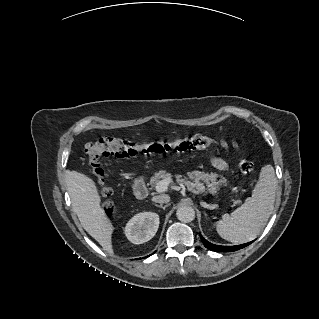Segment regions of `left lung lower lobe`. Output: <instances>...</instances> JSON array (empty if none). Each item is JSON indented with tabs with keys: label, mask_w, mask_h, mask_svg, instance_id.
I'll list each match as a JSON object with an SVG mask.
<instances>
[{
	"label": "left lung lower lobe",
	"mask_w": 319,
	"mask_h": 319,
	"mask_svg": "<svg viewBox=\"0 0 319 319\" xmlns=\"http://www.w3.org/2000/svg\"><path fill=\"white\" fill-rule=\"evenodd\" d=\"M200 238L204 244V246L208 249H210L211 251H215V252H232V251H236V250H239L241 248H244L246 247L247 245H249L250 243L252 242H249V243H245V244H242V245H236V246H219V245H215V244H212L210 242H208L206 239H204V237L201 236L200 234Z\"/></svg>",
	"instance_id": "0a47b994"
}]
</instances>
